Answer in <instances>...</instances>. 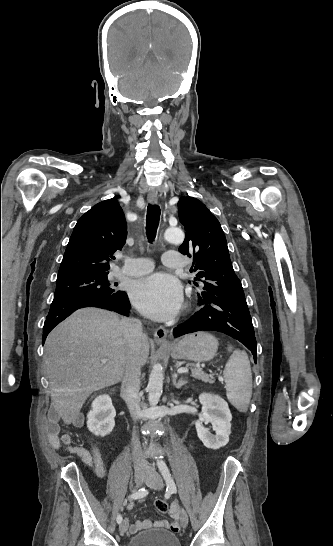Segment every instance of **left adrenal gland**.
Returning a JSON list of instances; mask_svg holds the SVG:
<instances>
[{
    "label": "left adrenal gland",
    "instance_id": "1",
    "mask_svg": "<svg viewBox=\"0 0 333 546\" xmlns=\"http://www.w3.org/2000/svg\"><path fill=\"white\" fill-rule=\"evenodd\" d=\"M176 379H177V374L174 373L172 375V382L173 384L176 386V388L180 389L182 386H184L185 384H187V381L180 378L178 382H176Z\"/></svg>",
    "mask_w": 333,
    "mask_h": 546
}]
</instances>
